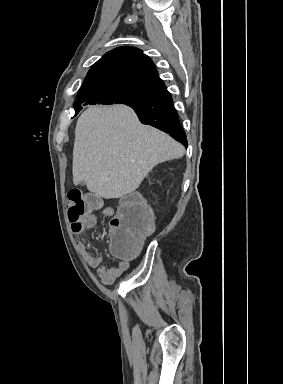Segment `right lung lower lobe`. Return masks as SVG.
<instances>
[{"instance_id":"obj_1","label":"right lung lower lobe","mask_w":283,"mask_h":384,"mask_svg":"<svg viewBox=\"0 0 283 384\" xmlns=\"http://www.w3.org/2000/svg\"><path fill=\"white\" fill-rule=\"evenodd\" d=\"M143 124L154 126L172 136L187 147L186 134L180 124L171 94L163 86L155 98L144 105L130 106Z\"/></svg>"}]
</instances>
